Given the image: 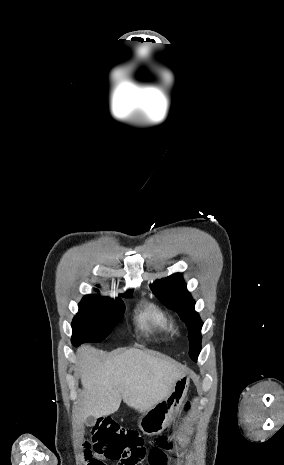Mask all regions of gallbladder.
Returning a JSON list of instances; mask_svg holds the SVG:
<instances>
[{
  "instance_id": "bac80fb5",
  "label": "gallbladder",
  "mask_w": 284,
  "mask_h": 465,
  "mask_svg": "<svg viewBox=\"0 0 284 465\" xmlns=\"http://www.w3.org/2000/svg\"><path fill=\"white\" fill-rule=\"evenodd\" d=\"M95 423H96L95 417H88V419H86L85 425H87V427H91V425H95Z\"/></svg>"
}]
</instances>
